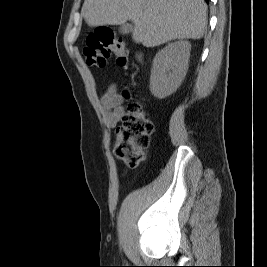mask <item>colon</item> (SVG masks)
<instances>
[{
	"instance_id": "colon-1",
	"label": "colon",
	"mask_w": 267,
	"mask_h": 267,
	"mask_svg": "<svg viewBox=\"0 0 267 267\" xmlns=\"http://www.w3.org/2000/svg\"><path fill=\"white\" fill-rule=\"evenodd\" d=\"M85 62L90 67L102 68L114 55L121 68L128 66V50L123 40L117 38L109 28H98L86 39L83 49ZM129 97L128 92L125 93ZM154 129L146 111L138 102H131L117 129L115 156L128 167L138 166L145 158L149 146L150 135Z\"/></svg>"
}]
</instances>
